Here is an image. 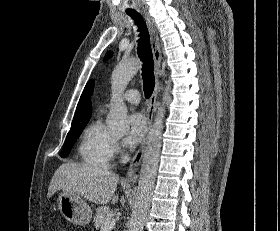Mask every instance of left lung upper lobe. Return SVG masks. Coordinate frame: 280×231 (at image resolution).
Here are the masks:
<instances>
[{"label": "left lung upper lobe", "instance_id": "1", "mask_svg": "<svg viewBox=\"0 0 280 231\" xmlns=\"http://www.w3.org/2000/svg\"><path fill=\"white\" fill-rule=\"evenodd\" d=\"M111 55H112V52H111V51H109V52L107 53V55H106V57H105L104 59L106 60V59L110 58V57H111Z\"/></svg>", "mask_w": 280, "mask_h": 231}]
</instances>
